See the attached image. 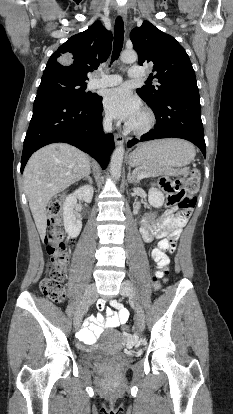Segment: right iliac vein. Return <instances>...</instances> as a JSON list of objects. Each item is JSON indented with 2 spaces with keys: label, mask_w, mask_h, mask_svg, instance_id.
I'll use <instances>...</instances> for the list:
<instances>
[{
  "label": "right iliac vein",
  "mask_w": 233,
  "mask_h": 414,
  "mask_svg": "<svg viewBox=\"0 0 233 414\" xmlns=\"http://www.w3.org/2000/svg\"><path fill=\"white\" fill-rule=\"evenodd\" d=\"M97 292L94 285H90L86 288L85 293L82 297L81 303L78 306L75 316L74 325L78 327L81 324L82 318L88 308V306L96 299Z\"/></svg>",
  "instance_id": "63e3f726"
}]
</instances>
